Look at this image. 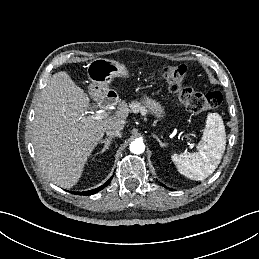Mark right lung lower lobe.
Returning a JSON list of instances; mask_svg holds the SVG:
<instances>
[{"label":"right lung lower lobe","instance_id":"1","mask_svg":"<svg viewBox=\"0 0 259 259\" xmlns=\"http://www.w3.org/2000/svg\"><path fill=\"white\" fill-rule=\"evenodd\" d=\"M112 178H110L105 184H103L102 186L96 188V189H93V190H90V191H87V192H73V194H78V195H85V196H88V195H92V194H95L97 193L98 191L102 190L104 187H106L110 181H111Z\"/></svg>","mask_w":259,"mask_h":259}]
</instances>
